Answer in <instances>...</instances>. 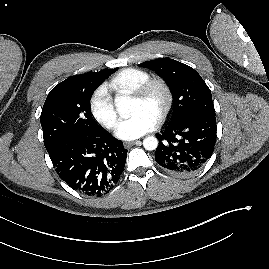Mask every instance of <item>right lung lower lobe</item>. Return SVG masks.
Here are the masks:
<instances>
[{
	"mask_svg": "<svg viewBox=\"0 0 269 269\" xmlns=\"http://www.w3.org/2000/svg\"><path fill=\"white\" fill-rule=\"evenodd\" d=\"M47 152L57 174L70 187L102 196L118 183L128 151L122 141L100 129L63 137Z\"/></svg>",
	"mask_w": 269,
	"mask_h": 269,
	"instance_id": "right-lung-lower-lobe-1",
	"label": "right lung lower lobe"
}]
</instances>
